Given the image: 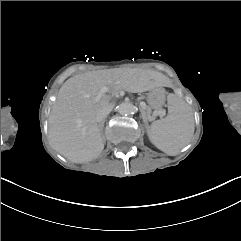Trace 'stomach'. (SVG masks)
I'll return each instance as SVG.
<instances>
[{
	"instance_id": "obj_1",
	"label": "stomach",
	"mask_w": 241,
	"mask_h": 241,
	"mask_svg": "<svg viewBox=\"0 0 241 241\" xmlns=\"http://www.w3.org/2000/svg\"><path fill=\"white\" fill-rule=\"evenodd\" d=\"M166 101L165 91L162 88L152 90L148 93L147 102L153 109H160Z\"/></svg>"
}]
</instances>
